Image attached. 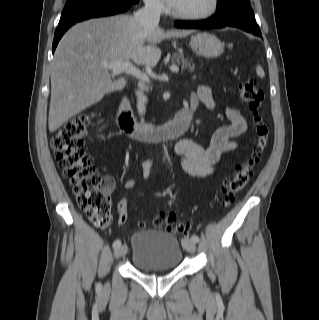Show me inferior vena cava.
Instances as JSON below:
<instances>
[{"label":"inferior vena cava","instance_id":"602c4592","mask_svg":"<svg viewBox=\"0 0 319 320\" xmlns=\"http://www.w3.org/2000/svg\"><path fill=\"white\" fill-rule=\"evenodd\" d=\"M161 7L157 0H145V6L134 13V19L141 27L154 29L159 24ZM136 95L138 113L143 116L146 111L147 98L140 90L136 91Z\"/></svg>","mask_w":319,"mask_h":320}]
</instances>
